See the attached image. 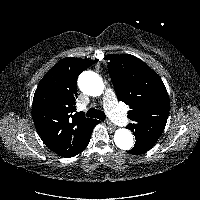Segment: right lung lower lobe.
Here are the masks:
<instances>
[{"label":"right lung lower lobe","mask_w":200,"mask_h":200,"mask_svg":"<svg viewBox=\"0 0 200 200\" xmlns=\"http://www.w3.org/2000/svg\"><path fill=\"white\" fill-rule=\"evenodd\" d=\"M99 121H95L90 128L88 129V131L86 132V134L84 135V137L82 138V140L80 141L78 148L75 150L74 154L70 157H73L75 155H77L78 153H80L82 150H84L87 145L89 144L90 138H91V133L93 130V127L98 123Z\"/></svg>","instance_id":"right-lung-lower-lobe-1"}]
</instances>
